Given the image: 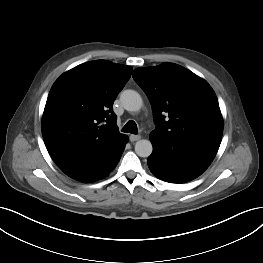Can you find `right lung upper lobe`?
Wrapping results in <instances>:
<instances>
[{
  "label": "right lung upper lobe",
  "instance_id": "1",
  "mask_svg": "<svg viewBox=\"0 0 263 263\" xmlns=\"http://www.w3.org/2000/svg\"><path fill=\"white\" fill-rule=\"evenodd\" d=\"M132 68L106 60L86 62L62 74L52 86L42 134L61 170L103 158L120 147L113 102Z\"/></svg>",
  "mask_w": 263,
  "mask_h": 263
}]
</instances>
